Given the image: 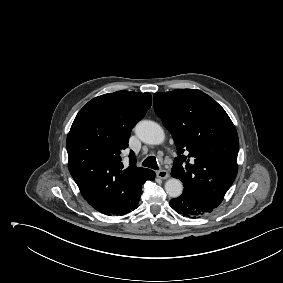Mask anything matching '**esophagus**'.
Returning a JSON list of instances; mask_svg holds the SVG:
<instances>
[{
    "instance_id": "34e87169",
    "label": "esophagus",
    "mask_w": 283,
    "mask_h": 283,
    "mask_svg": "<svg viewBox=\"0 0 283 283\" xmlns=\"http://www.w3.org/2000/svg\"><path fill=\"white\" fill-rule=\"evenodd\" d=\"M156 174H157V177L161 179H167L169 177L168 171L164 169L157 171Z\"/></svg>"
}]
</instances>
